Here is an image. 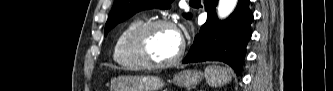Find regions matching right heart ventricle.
Returning <instances> with one entry per match:
<instances>
[{
    "instance_id": "1",
    "label": "right heart ventricle",
    "mask_w": 333,
    "mask_h": 91,
    "mask_svg": "<svg viewBox=\"0 0 333 91\" xmlns=\"http://www.w3.org/2000/svg\"><path fill=\"white\" fill-rule=\"evenodd\" d=\"M143 23L142 18H136L129 22L122 30L118 33L114 46L112 57L117 65L123 69L128 70H141L143 67L133 60L128 51V39L130 34L139 25Z\"/></svg>"
}]
</instances>
